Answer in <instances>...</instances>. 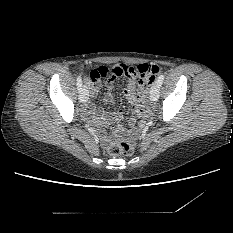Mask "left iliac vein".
<instances>
[{"label": "left iliac vein", "mask_w": 233, "mask_h": 233, "mask_svg": "<svg viewBox=\"0 0 233 233\" xmlns=\"http://www.w3.org/2000/svg\"><path fill=\"white\" fill-rule=\"evenodd\" d=\"M159 93H160V86H159L158 82H156L151 87V90H150V100L153 101V102L157 101L158 98H159Z\"/></svg>", "instance_id": "left-iliac-vein-1"}]
</instances>
